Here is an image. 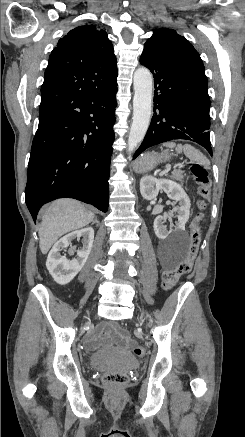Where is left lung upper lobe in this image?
I'll return each instance as SVG.
<instances>
[{
  "instance_id": "1",
  "label": "left lung upper lobe",
  "mask_w": 245,
  "mask_h": 437,
  "mask_svg": "<svg viewBox=\"0 0 245 437\" xmlns=\"http://www.w3.org/2000/svg\"><path fill=\"white\" fill-rule=\"evenodd\" d=\"M144 51L207 80L199 53L185 37L178 35L173 29L154 30L152 37L144 45Z\"/></svg>"
}]
</instances>
